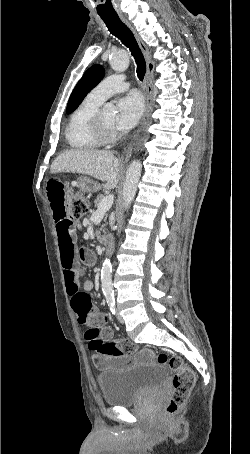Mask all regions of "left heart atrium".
I'll return each instance as SVG.
<instances>
[{
  "mask_svg": "<svg viewBox=\"0 0 250 454\" xmlns=\"http://www.w3.org/2000/svg\"><path fill=\"white\" fill-rule=\"evenodd\" d=\"M145 109V101L141 93L133 91L123 96L117 103L115 127L119 130H128L139 121Z\"/></svg>",
  "mask_w": 250,
  "mask_h": 454,
  "instance_id": "left-heart-atrium-1",
  "label": "left heart atrium"
}]
</instances>
